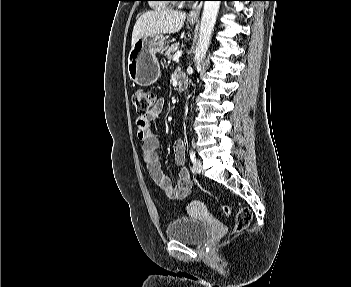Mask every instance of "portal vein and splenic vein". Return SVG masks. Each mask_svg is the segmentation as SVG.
Returning a JSON list of instances; mask_svg holds the SVG:
<instances>
[{
    "label": "portal vein and splenic vein",
    "mask_w": 351,
    "mask_h": 287,
    "mask_svg": "<svg viewBox=\"0 0 351 287\" xmlns=\"http://www.w3.org/2000/svg\"><path fill=\"white\" fill-rule=\"evenodd\" d=\"M181 55H182V51L176 52L173 56V61H178Z\"/></svg>",
    "instance_id": "portal-vein-and-splenic-vein-1"
}]
</instances>
